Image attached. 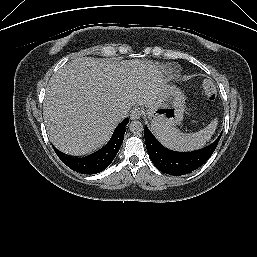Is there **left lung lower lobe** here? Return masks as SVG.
<instances>
[{
	"mask_svg": "<svg viewBox=\"0 0 257 257\" xmlns=\"http://www.w3.org/2000/svg\"><path fill=\"white\" fill-rule=\"evenodd\" d=\"M221 135L222 132L212 144L201 150L182 153L165 148L147 127L144 129L146 148L152 163L161 172L175 176L191 173L202 166L215 151Z\"/></svg>",
	"mask_w": 257,
	"mask_h": 257,
	"instance_id": "left-lung-lower-lobe-1",
	"label": "left lung lower lobe"
}]
</instances>
